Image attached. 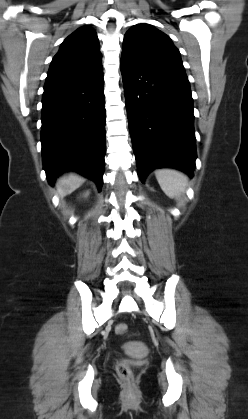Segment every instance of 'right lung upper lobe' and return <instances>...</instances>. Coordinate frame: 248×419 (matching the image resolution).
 <instances>
[{
	"instance_id": "1",
	"label": "right lung upper lobe",
	"mask_w": 248,
	"mask_h": 419,
	"mask_svg": "<svg viewBox=\"0 0 248 419\" xmlns=\"http://www.w3.org/2000/svg\"><path fill=\"white\" fill-rule=\"evenodd\" d=\"M101 53L96 32L84 26L69 35L54 56L46 83L76 78L100 66Z\"/></svg>"
}]
</instances>
